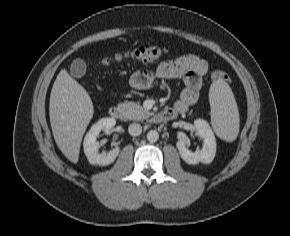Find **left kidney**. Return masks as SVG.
Returning <instances> with one entry per match:
<instances>
[{
	"instance_id": "obj_1",
	"label": "left kidney",
	"mask_w": 290,
	"mask_h": 236,
	"mask_svg": "<svg viewBox=\"0 0 290 236\" xmlns=\"http://www.w3.org/2000/svg\"><path fill=\"white\" fill-rule=\"evenodd\" d=\"M196 133L203 139V147L195 152L187 148L189 139L182 137L176 143L181 158L188 164H198L199 162L209 164L216 154V140L209 124L203 119L194 121Z\"/></svg>"
}]
</instances>
